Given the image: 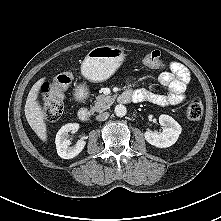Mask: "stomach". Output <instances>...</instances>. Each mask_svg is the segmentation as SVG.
I'll return each instance as SVG.
<instances>
[{
  "label": "stomach",
  "instance_id": "stomach-1",
  "mask_svg": "<svg viewBox=\"0 0 221 221\" xmlns=\"http://www.w3.org/2000/svg\"><path fill=\"white\" fill-rule=\"evenodd\" d=\"M125 59L124 49L115 46H99L90 50L82 65V74L91 81H104L111 77Z\"/></svg>",
  "mask_w": 221,
  "mask_h": 221
}]
</instances>
